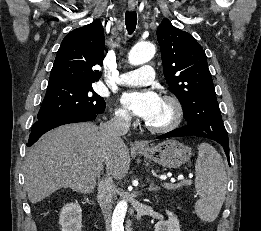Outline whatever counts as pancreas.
<instances>
[{
    "label": "pancreas",
    "instance_id": "obj_1",
    "mask_svg": "<svg viewBox=\"0 0 261 231\" xmlns=\"http://www.w3.org/2000/svg\"><path fill=\"white\" fill-rule=\"evenodd\" d=\"M182 185H188V184H181L179 186H182ZM178 187L177 186H172V185H164V188L169 189V190H174V189H176Z\"/></svg>",
    "mask_w": 261,
    "mask_h": 231
}]
</instances>
